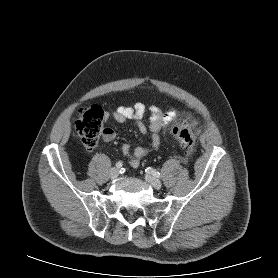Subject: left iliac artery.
<instances>
[{
  "mask_svg": "<svg viewBox=\"0 0 278 278\" xmlns=\"http://www.w3.org/2000/svg\"><path fill=\"white\" fill-rule=\"evenodd\" d=\"M148 172L151 173L153 176L157 177V178H160L161 177V174L155 170V169H152L150 167L147 168Z\"/></svg>",
  "mask_w": 278,
  "mask_h": 278,
  "instance_id": "44dca946",
  "label": "left iliac artery"
}]
</instances>
